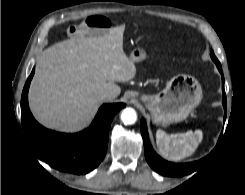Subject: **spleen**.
<instances>
[{
	"instance_id": "3e777b00",
	"label": "spleen",
	"mask_w": 245,
	"mask_h": 195,
	"mask_svg": "<svg viewBox=\"0 0 245 195\" xmlns=\"http://www.w3.org/2000/svg\"><path fill=\"white\" fill-rule=\"evenodd\" d=\"M201 130L187 131L186 133L168 135L159 129L156 132V144L160 154L168 160L180 161L191 156L202 141Z\"/></svg>"
}]
</instances>
